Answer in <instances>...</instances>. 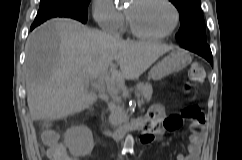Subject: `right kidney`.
Returning a JSON list of instances; mask_svg holds the SVG:
<instances>
[{
    "instance_id": "ca27d5eb",
    "label": "right kidney",
    "mask_w": 242,
    "mask_h": 160,
    "mask_svg": "<svg viewBox=\"0 0 242 160\" xmlns=\"http://www.w3.org/2000/svg\"><path fill=\"white\" fill-rule=\"evenodd\" d=\"M64 142L75 157L89 155L94 148L92 132L86 126L69 128L64 135Z\"/></svg>"
}]
</instances>
